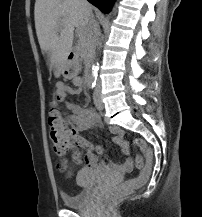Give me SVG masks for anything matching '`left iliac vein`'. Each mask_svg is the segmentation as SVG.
I'll list each match as a JSON object with an SVG mask.
<instances>
[{"label":"left iliac vein","instance_id":"4c4485c4","mask_svg":"<svg viewBox=\"0 0 202 217\" xmlns=\"http://www.w3.org/2000/svg\"><path fill=\"white\" fill-rule=\"evenodd\" d=\"M93 99H94V104H95L96 108H97L98 110H103L104 104H103V102H102V100H101V97H100V90H99V87H97V88L95 89Z\"/></svg>","mask_w":202,"mask_h":217}]
</instances>
